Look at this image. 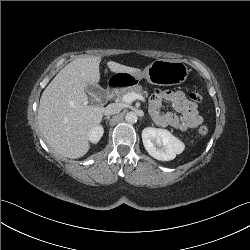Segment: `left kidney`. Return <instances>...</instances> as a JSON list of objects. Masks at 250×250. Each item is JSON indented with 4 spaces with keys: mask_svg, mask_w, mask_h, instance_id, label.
Returning <instances> with one entry per match:
<instances>
[{
    "mask_svg": "<svg viewBox=\"0 0 250 250\" xmlns=\"http://www.w3.org/2000/svg\"><path fill=\"white\" fill-rule=\"evenodd\" d=\"M143 145L150 156L161 161L173 160L185 145L168 130L147 127L142 131Z\"/></svg>",
    "mask_w": 250,
    "mask_h": 250,
    "instance_id": "left-kidney-1",
    "label": "left kidney"
}]
</instances>
